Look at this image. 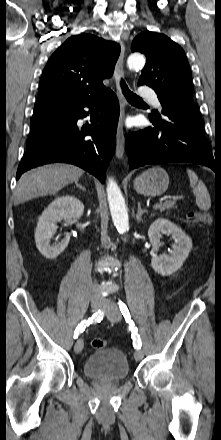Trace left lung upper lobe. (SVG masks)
I'll return each mask as SVG.
<instances>
[{"label": "left lung upper lobe", "mask_w": 221, "mask_h": 440, "mask_svg": "<svg viewBox=\"0 0 221 440\" xmlns=\"http://www.w3.org/2000/svg\"><path fill=\"white\" fill-rule=\"evenodd\" d=\"M131 51L146 56L147 62L138 84H146L155 90L162 110L176 109L201 117L192 98L190 66L178 44L163 34L144 31L134 38ZM153 116L160 115L153 111Z\"/></svg>", "instance_id": "5c2ea615"}]
</instances>
